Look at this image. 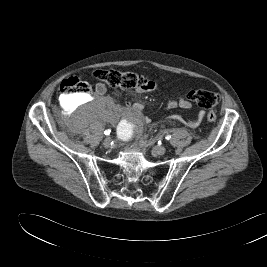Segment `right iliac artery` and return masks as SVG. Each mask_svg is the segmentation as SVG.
<instances>
[{"instance_id": "82829eb1", "label": "right iliac artery", "mask_w": 267, "mask_h": 267, "mask_svg": "<svg viewBox=\"0 0 267 267\" xmlns=\"http://www.w3.org/2000/svg\"><path fill=\"white\" fill-rule=\"evenodd\" d=\"M110 132H111V131L108 129V130H106L104 133H105V135H109Z\"/></svg>"}]
</instances>
